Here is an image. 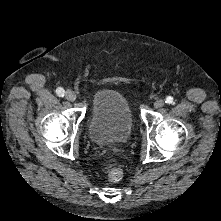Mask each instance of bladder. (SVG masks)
<instances>
[{
    "label": "bladder",
    "instance_id": "bladder-1",
    "mask_svg": "<svg viewBox=\"0 0 221 221\" xmlns=\"http://www.w3.org/2000/svg\"><path fill=\"white\" fill-rule=\"evenodd\" d=\"M133 128V116L125 96L114 90L100 91L92 102L88 132L99 144L125 142Z\"/></svg>",
    "mask_w": 221,
    "mask_h": 221
}]
</instances>
